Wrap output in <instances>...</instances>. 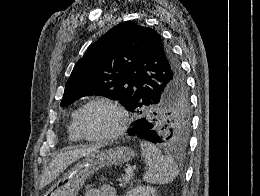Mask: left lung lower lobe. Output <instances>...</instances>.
I'll return each mask as SVG.
<instances>
[{
    "mask_svg": "<svg viewBox=\"0 0 260 196\" xmlns=\"http://www.w3.org/2000/svg\"><path fill=\"white\" fill-rule=\"evenodd\" d=\"M132 126V129L128 130V135L137 136L153 143L160 142L159 134L153 129L152 124L149 121L139 119L134 122Z\"/></svg>",
    "mask_w": 260,
    "mask_h": 196,
    "instance_id": "left-lung-lower-lobe-1",
    "label": "left lung lower lobe"
}]
</instances>
